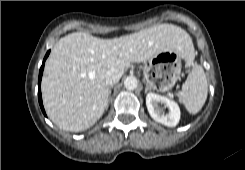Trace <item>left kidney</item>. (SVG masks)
<instances>
[{
	"mask_svg": "<svg viewBox=\"0 0 245 170\" xmlns=\"http://www.w3.org/2000/svg\"><path fill=\"white\" fill-rule=\"evenodd\" d=\"M163 103L166 107H168L169 111L167 114H162L158 103ZM146 106L150 116L161 124H164L168 127H174L179 123L180 120V108L178 104L167 97L149 93L146 96Z\"/></svg>",
	"mask_w": 245,
	"mask_h": 170,
	"instance_id": "1",
	"label": "left kidney"
}]
</instances>
